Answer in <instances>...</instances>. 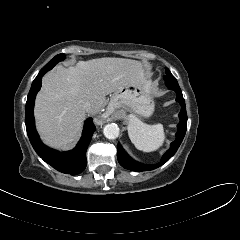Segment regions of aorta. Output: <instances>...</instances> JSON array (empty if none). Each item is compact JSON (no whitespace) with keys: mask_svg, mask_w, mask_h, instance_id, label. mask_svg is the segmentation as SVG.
Segmentation results:
<instances>
[{"mask_svg":"<svg viewBox=\"0 0 240 240\" xmlns=\"http://www.w3.org/2000/svg\"><path fill=\"white\" fill-rule=\"evenodd\" d=\"M119 131V127L114 123L105 125L103 129L104 136L108 139H116L119 136Z\"/></svg>","mask_w":240,"mask_h":240,"instance_id":"aorta-1","label":"aorta"}]
</instances>
